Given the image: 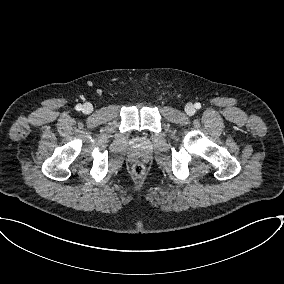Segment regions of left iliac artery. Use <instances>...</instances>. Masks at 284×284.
<instances>
[{
  "label": "left iliac artery",
  "instance_id": "left-iliac-artery-1",
  "mask_svg": "<svg viewBox=\"0 0 284 284\" xmlns=\"http://www.w3.org/2000/svg\"><path fill=\"white\" fill-rule=\"evenodd\" d=\"M195 108L196 109H200L201 108V104L200 103H195Z\"/></svg>",
  "mask_w": 284,
  "mask_h": 284
}]
</instances>
